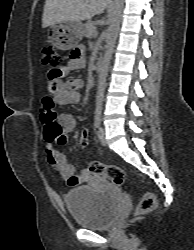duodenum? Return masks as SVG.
<instances>
[{
    "mask_svg": "<svg viewBox=\"0 0 194 250\" xmlns=\"http://www.w3.org/2000/svg\"><path fill=\"white\" fill-rule=\"evenodd\" d=\"M103 59L100 57L96 62L95 73H98L102 69Z\"/></svg>",
    "mask_w": 194,
    "mask_h": 250,
    "instance_id": "obj_1",
    "label": "duodenum"
}]
</instances>
